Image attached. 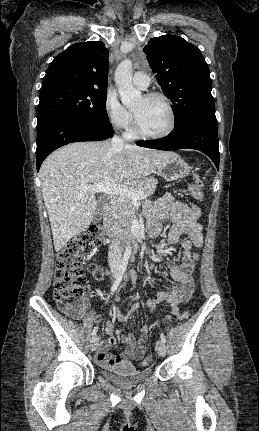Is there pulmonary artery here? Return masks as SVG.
<instances>
[{"instance_id": "1", "label": "pulmonary artery", "mask_w": 259, "mask_h": 431, "mask_svg": "<svg viewBox=\"0 0 259 431\" xmlns=\"http://www.w3.org/2000/svg\"><path fill=\"white\" fill-rule=\"evenodd\" d=\"M149 76L143 72H136L133 76V84L139 89H146L149 86Z\"/></svg>"}]
</instances>
